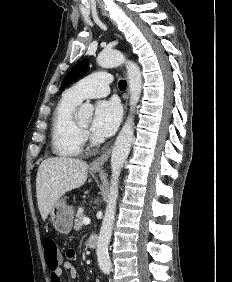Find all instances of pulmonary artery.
Wrapping results in <instances>:
<instances>
[{"instance_id":"obj_1","label":"pulmonary artery","mask_w":232,"mask_h":282,"mask_svg":"<svg viewBox=\"0 0 232 282\" xmlns=\"http://www.w3.org/2000/svg\"><path fill=\"white\" fill-rule=\"evenodd\" d=\"M111 82L112 75L110 73L106 71L96 72L74 84L66 93L77 101H82L85 98L102 97L109 93Z\"/></svg>"}]
</instances>
